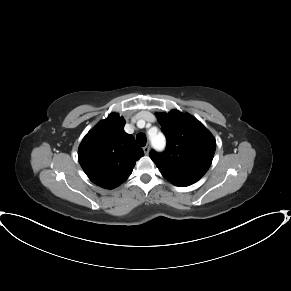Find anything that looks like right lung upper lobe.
I'll return each mask as SVG.
<instances>
[{
    "instance_id": "obj_1",
    "label": "right lung upper lobe",
    "mask_w": 291,
    "mask_h": 291,
    "mask_svg": "<svg viewBox=\"0 0 291 291\" xmlns=\"http://www.w3.org/2000/svg\"><path fill=\"white\" fill-rule=\"evenodd\" d=\"M124 125V118L112 113L90 130L79 146L78 159L84 172L106 189L123 183L144 155L134 137L123 130Z\"/></svg>"
}]
</instances>
